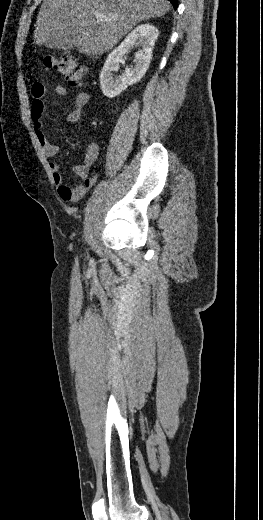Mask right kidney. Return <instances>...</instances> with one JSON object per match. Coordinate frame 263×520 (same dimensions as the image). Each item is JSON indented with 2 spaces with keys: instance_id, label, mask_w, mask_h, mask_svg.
<instances>
[{
  "instance_id": "obj_1",
  "label": "right kidney",
  "mask_w": 263,
  "mask_h": 520,
  "mask_svg": "<svg viewBox=\"0 0 263 520\" xmlns=\"http://www.w3.org/2000/svg\"><path fill=\"white\" fill-rule=\"evenodd\" d=\"M158 34L151 24L139 25L108 55L100 74L101 90L106 97L114 98L141 80L149 68ZM134 46H141L135 54L134 66L127 67L122 76L115 75L119 62Z\"/></svg>"
}]
</instances>
